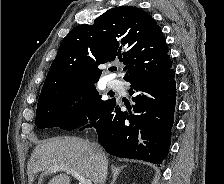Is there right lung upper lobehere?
<instances>
[{"label": "right lung upper lobe", "mask_w": 224, "mask_h": 184, "mask_svg": "<svg viewBox=\"0 0 224 184\" xmlns=\"http://www.w3.org/2000/svg\"><path fill=\"white\" fill-rule=\"evenodd\" d=\"M120 59L124 80L172 64L160 27L145 11L131 6L111 9L93 25L73 28L62 40L42 87L39 101L75 85L97 82L98 65Z\"/></svg>", "instance_id": "right-lung-upper-lobe-1"}]
</instances>
